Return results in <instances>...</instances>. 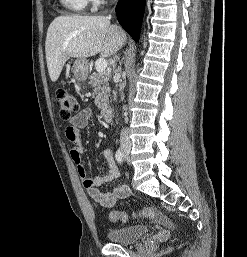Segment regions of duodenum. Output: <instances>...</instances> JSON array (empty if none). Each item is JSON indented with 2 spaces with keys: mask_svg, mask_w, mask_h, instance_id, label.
I'll list each match as a JSON object with an SVG mask.
<instances>
[{
  "mask_svg": "<svg viewBox=\"0 0 247 257\" xmlns=\"http://www.w3.org/2000/svg\"><path fill=\"white\" fill-rule=\"evenodd\" d=\"M101 114L104 120L110 121L112 119V108L110 106L102 107Z\"/></svg>",
  "mask_w": 247,
  "mask_h": 257,
  "instance_id": "1",
  "label": "duodenum"
}]
</instances>
